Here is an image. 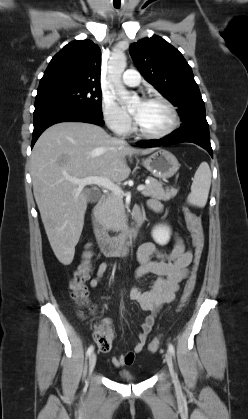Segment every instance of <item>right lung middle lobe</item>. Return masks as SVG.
Masks as SVG:
<instances>
[{
  "label": "right lung middle lobe",
  "mask_w": 248,
  "mask_h": 419,
  "mask_svg": "<svg viewBox=\"0 0 248 419\" xmlns=\"http://www.w3.org/2000/svg\"><path fill=\"white\" fill-rule=\"evenodd\" d=\"M100 88L56 87L38 90L35 109L51 105H76L102 116Z\"/></svg>",
  "instance_id": "1"
}]
</instances>
